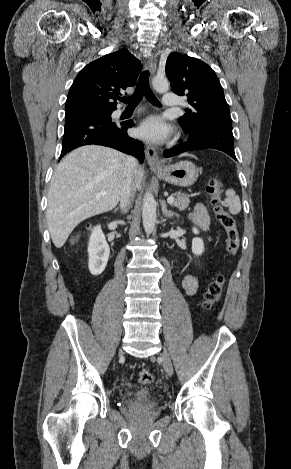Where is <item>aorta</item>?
<instances>
[{
  "mask_svg": "<svg viewBox=\"0 0 291 469\" xmlns=\"http://www.w3.org/2000/svg\"><path fill=\"white\" fill-rule=\"evenodd\" d=\"M154 89L159 93H165L169 89V82L163 76H156L152 81ZM143 227L147 234H151L156 223V201L151 192H146L142 205Z\"/></svg>",
  "mask_w": 291,
  "mask_h": 469,
  "instance_id": "obj_1",
  "label": "aorta"
}]
</instances>
